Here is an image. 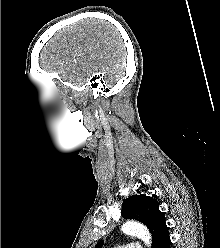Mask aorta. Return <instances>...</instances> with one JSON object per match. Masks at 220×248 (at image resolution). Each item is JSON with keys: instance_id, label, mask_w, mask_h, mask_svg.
<instances>
[{"instance_id": "1", "label": "aorta", "mask_w": 220, "mask_h": 248, "mask_svg": "<svg viewBox=\"0 0 220 248\" xmlns=\"http://www.w3.org/2000/svg\"><path fill=\"white\" fill-rule=\"evenodd\" d=\"M121 230L125 234L137 236L148 247L151 246V235L147 227H145L143 224L136 221H127L122 225Z\"/></svg>"}]
</instances>
